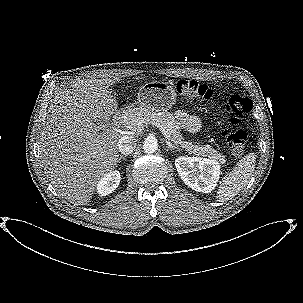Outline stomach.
Here are the masks:
<instances>
[{
    "instance_id": "obj_1",
    "label": "stomach",
    "mask_w": 303,
    "mask_h": 303,
    "mask_svg": "<svg viewBox=\"0 0 303 303\" xmlns=\"http://www.w3.org/2000/svg\"><path fill=\"white\" fill-rule=\"evenodd\" d=\"M176 102V92L168 82L152 81L145 83L137 94V110L167 111Z\"/></svg>"
}]
</instances>
